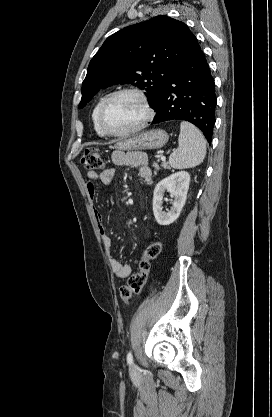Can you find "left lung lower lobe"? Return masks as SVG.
<instances>
[{"mask_svg":"<svg viewBox=\"0 0 272 417\" xmlns=\"http://www.w3.org/2000/svg\"><path fill=\"white\" fill-rule=\"evenodd\" d=\"M152 123L185 120L211 142L215 123L214 80L201 49L185 60L167 80L155 106Z\"/></svg>","mask_w":272,"mask_h":417,"instance_id":"0a47b994","label":"left lung lower lobe"}]
</instances>
